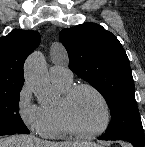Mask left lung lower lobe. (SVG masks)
<instances>
[{
    "mask_svg": "<svg viewBox=\"0 0 145 147\" xmlns=\"http://www.w3.org/2000/svg\"><path fill=\"white\" fill-rule=\"evenodd\" d=\"M98 139H99V140H117V139L106 138V137H104L103 135L100 136ZM125 141L130 142L134 147H144V143L135 142V141H130V140H125Z\"/></svg>",
    "mask_w": 145,
    "mask_h": 147,
    "instance_id": "left-lung-lower-lobe-1",
    "label": "left lung lower lobe"
}]
</instances>
